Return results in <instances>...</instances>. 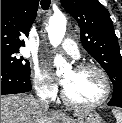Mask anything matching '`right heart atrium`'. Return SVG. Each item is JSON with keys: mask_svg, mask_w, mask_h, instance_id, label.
I'll use <instances>...</instances> for the list:
<instances>
[{"mask_svg": "<svg viewBox=\"0 0 122 123\" xmlns=\"http://www.w3.org/2000/svg\"><path fill=\"white\" fill-rule=\"evenodd\" d=\"M33 82L37 93L45 98L55 95L57 87L38 67L34 69Z\"/></svg>", "mask_w": 122, "mask_h": 123, "instance_id": "d8ad5b80", "label": "right heart atrium"}]
</instances>
